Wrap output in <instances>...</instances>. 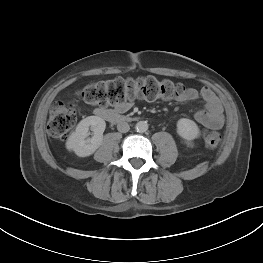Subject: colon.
Instances as JSON below:
<instances>
[{
  "mask_svg": "<svg viewBox=\"0 0 263 263\" xmlns=\"http://www.w3.org/2000/svg\"><path fill=\"white\" fill-rule=\"evenodd\" d=\"M185 91L181 83L147 76L91 83L80 90L78 95L91 105L118 106L136 98L147 101L171 100L181 97ZM77 119V110L74 106L57 103L50 112L48 132L54 138H63L76 125ZM202 139L207 146L214 148L220 144L221 135L217 131L204 130Z\"/></svg>",
  "mask_w": 263,
  "mask_h": 263,
  "instance_id": "1",
  "label": "colon"
}]
</instances>
